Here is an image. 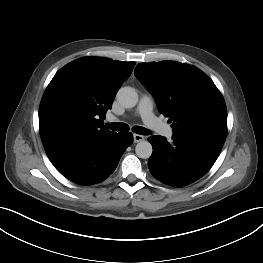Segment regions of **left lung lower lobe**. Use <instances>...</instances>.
I'll use <instances>...</instances> for the list:
<instances>
[{"label": "left lung lower lobe", "instance_id": "0a47b994", "mask_svg": "<svg viewBox=\"0 0 263 263\" xmlns=\"http://www.w3.org/2000/svg\"><path fill=\"white\" fill-rule=\"evenodd\" d=\"M172 139L168 142L156 135L148 138L153 146L148 167L156 179L174 187H183L205 175L224 144L183 132H174Z\"/></svg>", "mask_w": 263, "mask_h": 263}]
</instances>
